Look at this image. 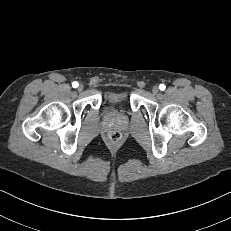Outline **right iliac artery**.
Wrapping results in <instances>:
<instances>
[{
    "label": "right iliac artery",
    "mask_w": 231,
    "mask_h": 231,
    "mask_svg": "<svg viewBox=\"0 0 231 231\" xmlns=\"http://www.w3.org/2000/svg\"><path fill=\"white\" fill-rule=\"evenodd\" d=\"M78 85H79L78 82H73V83H72V86H73L74 88H77Z\"/></svg>",
    "instance_id": "obj_1"
}]
</instances>
